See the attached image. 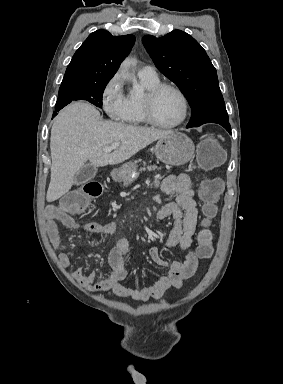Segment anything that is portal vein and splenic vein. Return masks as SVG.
Here are the masks:
<instances>
[{
	"instance_id": "18ae733b",
	"label": "portal vein and splenic vein",
	"mask_w": 283,
	"mask_h": 384,
	"mask_svg": "<svg viewBox=\"0 0 283 384\" xmlns=\"http://www.w3.org/2000/svg\"><path fill=\"white\" fill-rule=\"evenodd\" d=\"M118 146H120V144H111V146H105V148H103V152H112V150H116Z\"/></svg>"
}]
</instances>
